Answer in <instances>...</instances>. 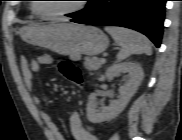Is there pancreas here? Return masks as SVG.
<instances>
[{"instance_id": "1", "label": "pancreas", "mask_w": 182, "mask_h": 140, "mask_svg": "<svg viewBox=\"0 0 182 140\" xmlns=\"http://www.w3.org/2000/svg\"><path fill=\"white\" fill-rule=\"evenodd\" d=\"M103 65L101 59L96 57H85L84 59V66L89 71L98 70Z\"/></svg>"}]
</instances>
